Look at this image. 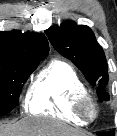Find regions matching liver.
<instances>
[{"mask_svg":"<svg viewBox=\"0 0 117 136\" xmlns=\"http://www.w3.org/2000/svg\"><path fill=\"white\" fill-rule=\"evenodd\" d=\"M0 136H92L60 121L28 118L16 123H0Z\"/></svg>","mask_w":117,"mask_h":136,"instance_id":"liver-1","label":"liver"}]
</instances>
